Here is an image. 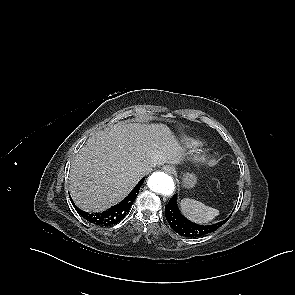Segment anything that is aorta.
Wrapping results in <instances>:
<instances>
[{
  "instance_id": "aorta-1",
  "label": "aorta",
  "mask_w": 295,
  "mask_h": 295,
  "mask_svg": "<svg viewBox=\"0 0 295 295\" xmlns=\"http://www.w3.org/2000/svg\"><path fill=\"white\" fill-rule=\"evenodd\" d=\"M148 187L155 193L170 196L175 190V183L165 172H154L147 182Z\"/></svg>"
}]
</instances>
